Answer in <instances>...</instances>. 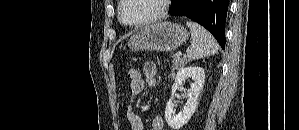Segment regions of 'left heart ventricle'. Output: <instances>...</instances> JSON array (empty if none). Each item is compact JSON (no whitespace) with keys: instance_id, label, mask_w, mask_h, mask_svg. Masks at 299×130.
I'll return each instance as SVG.
<instances>
[{"instance_id":"left-heart-ventricle-1","label":"left heart ventricle","mask_w":299,"mask_h":130,"mask_svg":"<svg viewBox=\"0 0 299 130\" xmlns=\"http://www.w3.org/2000/svg\"><path fill=\"white\" fill-rule=\"evenodd\" d=\"M158 0H131L122 12L123 20L128 23L148 18L159 10Z\"/></svg>"}]
</instances>
